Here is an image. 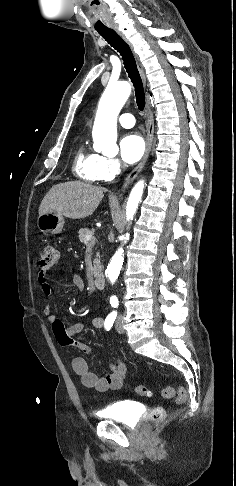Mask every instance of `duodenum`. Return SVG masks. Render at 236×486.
I'll return each instance as SVG.
<instances>
[{
  "label": "duodenum",
  "mask_w": 236,
  "mask_h": 486,
  "mask_svg": "<svg viewBox=\"0 0 236 486\" xmlns=\"http://www.w3.org/2000/svg\"><path fill=\"white\" fill-rule=\"evenodd\" d=\"M94 285L97 289H104L105 288V275L102 272H98L94 276Z\"/></svg>",
  "instance_id": "410a0bca"
}]
</instances>
